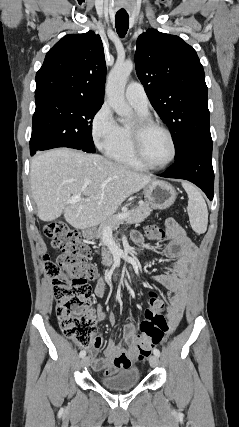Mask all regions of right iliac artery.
<instances>
[{"label":"right iliac artery","instance_id":"1","mask_svg":"<svg viewBox=\"0 0 239 427\" xmlns=\"http://www.w3.org/2000/svg\"><path fill=\"white\" fill-rule=\"evenodd\" d=\"M85 355H86V351H84V350H82V351L80 352V354H79V356H80L81 358L85 357Z\"/></svg>","mask_w":239,"mask_h":427}]
</instances>
